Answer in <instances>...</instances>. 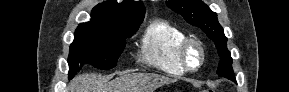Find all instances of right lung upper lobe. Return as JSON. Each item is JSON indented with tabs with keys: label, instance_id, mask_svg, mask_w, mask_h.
Listing matches in <instances>:
<instances>
[{
	"label": "right lung upper lobe",
	"instance_id": "1",
	"mask_svg": "<svg viewBox=\"0 0 289 92\" xmlns=\"http://www.w3.org/2000/svg\"><path fill=\"white\" fill-rule=\"evenodd\" d=\"M145 15V8L141 1L108 0L95 6L91 12V20L79 24V27L116 30L141 24Z\"/></svg>",
	"mask_w": 289,
	"mask_h": 92
}]
</instances>
